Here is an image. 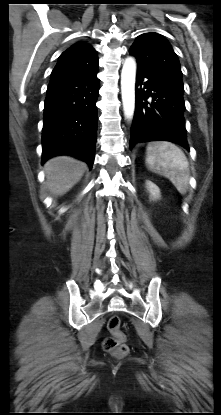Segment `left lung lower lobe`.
Masks as SVG:
<instances>
[{
  "label": "left lung lower lobe",
  "mask_w": 221,
  "mask_h": 415,
  "mask_svg": "<svg viewBox=\"0 0 221 415\" xmlns=\"http://www.w3.org/2000/svg\"><path fill=\"white\" fill-rule=\"evenodd\" d=\"M135 92L130 148L140 142L164 140L189 150L184 118V89L137 67Z\"/></svg>",
  "instance_id": "1"
}]
</instances>
